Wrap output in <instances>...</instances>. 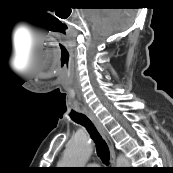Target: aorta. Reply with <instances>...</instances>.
Listing matches in <instances>:
<instances>
[{"label":"aorta","mask_w":173,"mask_h":173,"mask_svg":"<svg viewBox=\"0 0 173 173\" xmlns=\"http://www.w3.org/2000/svg\"><path fill=\"white\" fill-rule=\"evenodd\" d=\"M93 151V146L88 138H74L67 146L60 162L62 167H83ZM117 167H129V160L119 155L116 160Z\"/></svg>","instance_id":"762f6f07"}]
</instances>
